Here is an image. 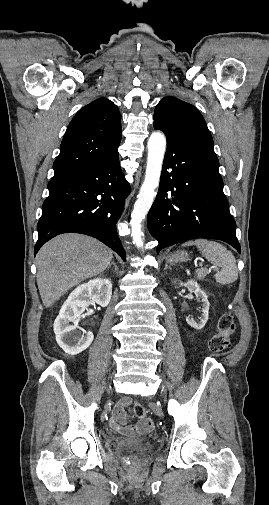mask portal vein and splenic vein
Masks as SVG:
<instances>
[{"label":"portal vein and splenic vein","mask_w":269,"mask_h":505,"mask_svg":"<svg viewBox=\"0 0 269 505\" xmlns=\"http://www.w3.org/2000/svg\"><path fill=\"white\" fill-rule=\"evenodd\" d=\"M202 266H203V264H202V263H200V264H199V267H201V268H202ZM196 267H198V265H196ZM215 270H217V268H216Z\"/></svg>","instance_id":"portal-vein-and-splenic-vein-1"}]
</instances>
